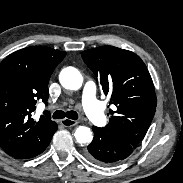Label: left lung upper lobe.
Instances as JSON below:
<instances>
[{
	"label": "left lung upper lobe",
	"mask_w": 183,
	"mask_h": 183,
	"mask_svg": "<svg viewBox=\"0 0 183 183\" xmlns=\"http://www.w3.org/2000/svg\"><path fill=\"white\" fill-rule=\"evenodd\" d=\"M81 56L98 77L104 94L110 95L109 104L115 105L103 129L137 146L156 109L154 85L146 65L135 53L113 46L89 49Z\"/></svg>",
	"instance_id": "1"
}]
</instances>
